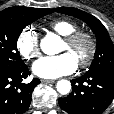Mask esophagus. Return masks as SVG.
Segmentation results:
<instances>
[{"label": "esophagus", "mask_w": 114, "mask_h": 114, "mask_svg": "<svg viewBox=\"0 0 114 114\" xmlns=\"http://www.w3.org/2000/svg\"><path fill=\"white\" fill-rule=\"evenodd\" d=\"M42 83H54L55 80L41 79Z\"/></svg>", "instance_id": "esophagus-1"}]
</instances>
